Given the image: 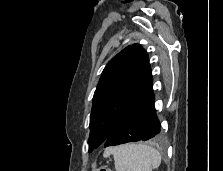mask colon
I'll list each match as a JSON object with an SVG mask.
<instances>
[{
	"label": "colon",
	"mask_w": 223,
	"mask_h": 171,
	"mask_svg": "<svg viewBox=\"0 0 223 171\" xmlns=\"http://www.w3.org/2000/svg\"><path fill=\"white\" fill-rule=\"evenodd\" d=\"M99 171H110V170H108L106 168H101Z\"/></svg>",
	"instance_id": "obj_1"
}]
</instances>
